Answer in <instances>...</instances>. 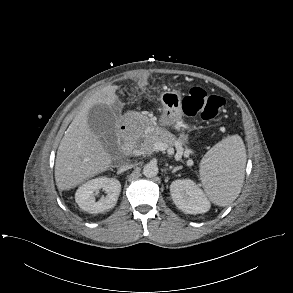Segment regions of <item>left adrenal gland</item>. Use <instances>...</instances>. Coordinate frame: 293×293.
<instances>
[{
    "label": "left adrenal gland",
    "mask_w": 293,
    "mask_h": 293,
    "mask_svg": "<svg viewBox=\"0 0 293 293\" xmlns=\"http://www.w3.org/2000/svg\"><path fill=\"white\" fill-rule=\"evenodd\" d=\"M180 169H182V166L174 167V168L172 169V173H175L176 171H178V170H180Z\"/></svg>",
    "instance_id": "left-adrenal-gland-1"
}]
</instances>
